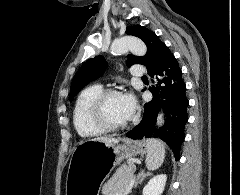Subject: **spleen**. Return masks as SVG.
I'll use <instances>...</instances> for the list:
<instances>
[{"label":"spleen","instance_id":"obj_1","mask_svg":"<svg viewBox=\"0 0 240 195\" xmlns=\"http://www.w3.org/2000/svg\"><path fill=\"white\" fill-rule=\"evenodd\" d=\"M148 151L146 165L148 169H158L165 159V143L161 139H147Z\"/></svg>","mask_w":240,"mask_h":195}]
</instances>
